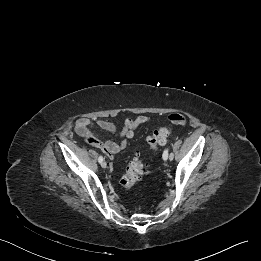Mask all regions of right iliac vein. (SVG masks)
<instances>
[{"label":"right iliac vein","mask_w":261,"mask_h":261,"mask_svg":"<svg viewBox=\"0 0 261 261\" xmlns=\"http://www.w3.org/2000/svg\"><path fill=\"white\" fill-rule=\"evenodd\" d=\"M100 164H101V166H102L103 168H106V167H107V164H106L105 161L100 162Z\"/></svg>","instance_id":"obj_1"}]
</instances>
